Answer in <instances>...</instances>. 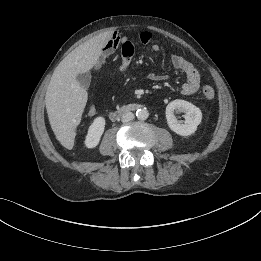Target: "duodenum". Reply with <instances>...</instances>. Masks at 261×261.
I'll use <instances>...</instances> for the list:
<instances>
[{
  "label": "duodenum",
  "instance_id": "obj_1",
  "mask_svg": "<svg viewBox=\"0 0 261 261\" xmlns=\"http://www.w3.org/2000/svg\"><path fill=\"white\" fill-rule=\"evenodd\" d=\"M139 108H141V105H139V104H129V105L122 106L121 108H119L111 113V118L118 119L123 114H125L127 112H131V111H136Z\"/></svg>",
  "mask_w": 261,
  "mask_h": 261
}]
</instances>
